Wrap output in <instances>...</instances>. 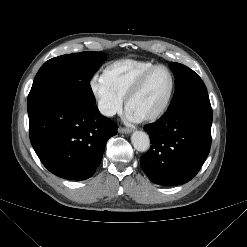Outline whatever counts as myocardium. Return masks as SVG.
I'll return each mask as SVG.
<instances>
[{
	"label": "myocardium",
	"instance_id": "myocardium-1",
	"mask_svg": "<svg viewBox=\"0 0 247 247\" xmlns=\"http://www.w3.org/2000/svg\"><path fill=\"white\" fill-rule=\"evenodd\" d=\"M164 69L167 71L169 78H170V89L169 92L167 94V97L165 98L164 102L161 104V106L159 108H157L156 110H154L153 112L142 116L141 120L144 121H155L158 118H160L168 109L171 100L173 98L174 95V91H175V79L173 76V73L171 72V70L163 64H156L153 65L152 67H150L149 69H147L137 80L136 82L133 84V86L129 89V91L126 94V108L128 109L130 106L131 101L138 95L140 94V92L143 90V88L146 85V82L148 81L149 77L151 76V74L157 70V69Z\"/></svg>",
	"mask_w": 247,
	"mask_h": 247
}]
</instances>
